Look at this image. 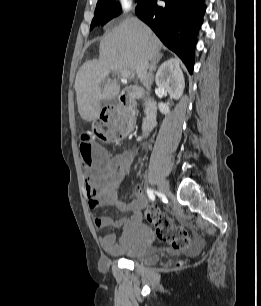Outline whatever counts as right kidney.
<instances>
[{
  "label": "right kidney",
  "mask_w": 261,
  "mask_h": 306,
  "mask_svg": "<svg viewBox=\"0 0 261 306\" xmlns=\"http://www.w3.org/2000/svg\"><path fill=\"white\" fill-rule=\"evenodd\" d=\"M155 81L157 86L165 89L172 98L179 99L183 94L185 84L179 61L176 59L165 61L158 69ZM158 108L164 115L170 112L168 104L160 102Z\"/></svg>",
  "instance_id": "1"
}]
</instances>
